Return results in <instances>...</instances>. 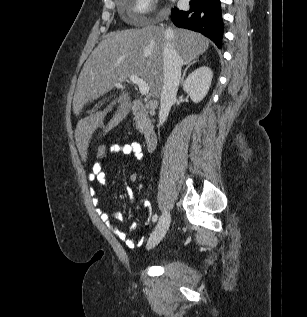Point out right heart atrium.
<instances>
[{
	"mask_svg": "<svg viewBox=\"0 0 307 317\" xmlns=\"http://www.w3.org/2000/svg\"><path fill=\"white\" fill-rule=\"evenodd\" d=\"M156 1L157 0H133L129 13L136 20L154 17L156 14Z\"/></svg>",
	"mask_w": 307,
	"mask_h": 317,
	"instance_id": "right-heart-atrium-1",
	"label": "right heart atrium"
}]
</instances>
